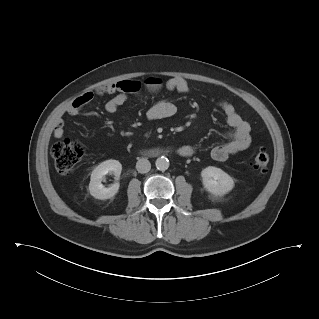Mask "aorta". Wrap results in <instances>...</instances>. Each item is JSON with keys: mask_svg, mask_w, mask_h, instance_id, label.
Returning <instances> with one entry per match:
<instances>
[{"mask_svg": "<svg viewBox=\"0 0 319 319\" xmlns=\"http://www.w3.org/2000/svg\"><path fill=\"white\" fill-rule=\"evenodd\" d=\"M155 164L158 170L164 171L167 170L169 167V160L166 157L162 156L157 158Z\"/></svg>", "mask_w": 319, "mask_h": 319, "instance_id": "obj_1", "label": "aorta"}]
</instances>
